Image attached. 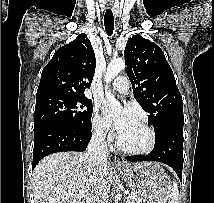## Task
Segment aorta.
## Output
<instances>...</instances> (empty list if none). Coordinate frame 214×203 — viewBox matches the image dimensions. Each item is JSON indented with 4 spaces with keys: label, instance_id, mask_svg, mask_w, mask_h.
I'll return each instance as SVG.
<instances>
[{
    "label": "aorta",
    "instance_id": "762f6f07",
    "mask_svg": "<svg viewBox=\"0 0 214 203\" xmlns=\"http://www.w3.org/2000/svg\"><path fill=\"white\" fill-rule=\"evenodd\" d=\"M125 69V61L122 58H117L111 61V63L107 67V71L105 74L104 81L107 84L105 87V95L108 101L114 102V95L108 88V84L121 72ZM120 195H116L115 202L119 203Z\"/></svg>",
    "mask_w": 214,
    "mask_h": 203
}]
</instances>
